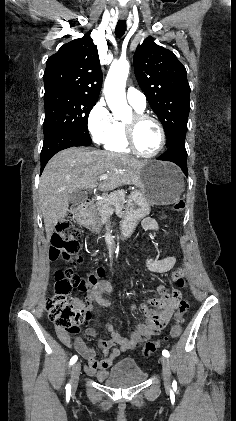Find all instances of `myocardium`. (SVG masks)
Masks as SVG:
<instances>
[{
  "label": "myocardium",
  "instance_id": "myocardium-1",
  "mask_svg": "<svg viewBox=\"0 0 236 421\" xmlns=\"http://www.w3.org/2000/svg\"><path fill=\"white\" fill-rule=\"evenodd\" d=\"M142 120H148L150 122H152L153 124H155V126L158 129L159 132V144L157 149L153 152V153H143L141 151H139V149L137 148L135 141H134V137H133V124L138 122V121H142ZM123 131H124V138H125V142L128 146V148L137 156L139 157H143V158H154L156 156H158L161 151L163 150L165 143H166V133L164 130L163 125L154 117L142 113L140 111H136L130 120H126L123 124Z\"/></svg>",
  "mask_w": 236,
  "mask_h": 421
}]
</instances>
